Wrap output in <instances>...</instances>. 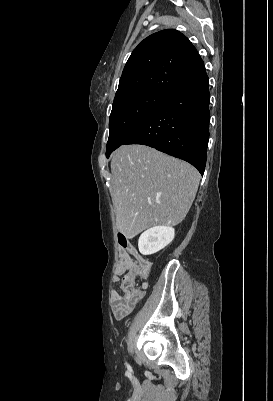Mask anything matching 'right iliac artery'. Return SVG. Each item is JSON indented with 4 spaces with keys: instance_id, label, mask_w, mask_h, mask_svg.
<instances>
[{
    "instance_id": "right-iliac-artery-1",
    "label": "right iliac artery",
    "mask_w": 273,
    "mask_h": 401,
    "mask_svg": "<svg viewBox=\"0 0 273 401\" xmlns=\"http://www.w3.org/2000/svg\"><path fill=\"white\" fill-rule=\"evenodd\" d=\"M127 364V363H126ZM127 368L130 369V366L127 364Z\"/></svg>"
}]
</instances>
